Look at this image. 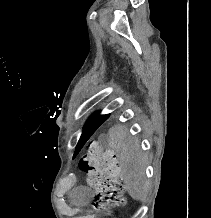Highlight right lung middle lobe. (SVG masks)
<instances>
[{"instance_id":"dd1d6c3e","label":"right lung middle lobe","mask_w":211,"mask_h":218,"mask_svg":"<svg viewBox=\"0 0 211 218\" xmlns=\"http://www.w3.org/2000/svg\"><path fill=\"white\" fill-rule=\"evenodd\" d=\"M109 117V115L94 114L87 122L83 136H91L95 130Z\"/></svg>"}]
</instances>
